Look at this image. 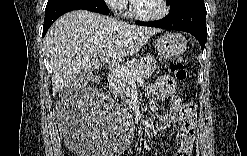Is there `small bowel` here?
I'll use <instances>...</instances> for the list:
<instances>
[{
  "label": "small bowel",
  "mask_w": 247,
  "mask_h": 156,
  "mask_svg": "<svg viewBox=\"0 0 247 156\" xmlns=\"http://www.w3.org/2000/svg\"><path fill=\"white\" fill-rule=\"evenodd\" d=\"M177 84L175 80L167 75L159 76L150 84L145 91L149 99L157 97L162 100L169 99L171 110L174 114L164 113L159 116L162 123L178 126L177 144L175 155H190L195 138V104L184 102L175 95Z\"/></svg>",
  "instance_id": "c3829d8e"
}]
</instances>
